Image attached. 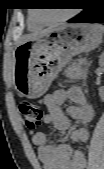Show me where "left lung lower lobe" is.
<instances>
[{
    "label": "left lung lower lobe",
    "mask_w": 104,
    "mask_h": 169,
    "mask_svg": "<svg viewBox=\"0 0 104 169\" xmlns=\"http://www.w3.org/2000/svg\"><path fill=\"white\" fill-rule=\"evenodd\" d=\"M84 11L69 23H104V7L100 0H87Z\"/></svg>",
    "instance_id": "1"
}]
</instances>
